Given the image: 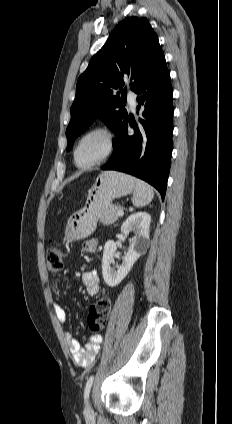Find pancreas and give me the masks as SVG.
I'll return each instance as SVG.
<instances>
[{"mask_svg": "<svg viewBox=\"0 0 232 424\" xmlns=\"http://www.w3.org/2000/svg\"><path fill=\"white\" fill-rule=\"evenodd\" d=\"M118 210H120L118 206L111 205L100 215V222L104 225L113 224L119 218V216L117 215Z\"/></svg>", "mask_w": 232, "mask_h": 424, "instance_id": "cf45deb5", "label": "pancreas"}]
</instances>
